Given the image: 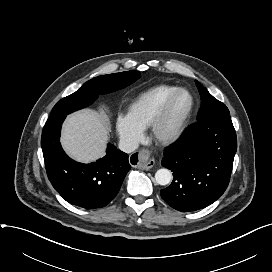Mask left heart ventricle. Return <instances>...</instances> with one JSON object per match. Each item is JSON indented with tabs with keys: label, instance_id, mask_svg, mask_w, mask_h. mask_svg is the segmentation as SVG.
Masks as SVG:
<instances>
[{
	"label": "left heart ventricle",
	"instance_id": "left-heart-ventricle-1",
	"mask_svg": "<svg viewBox=\"0 0 272 272\" xmlns=\"http://www.w3.org/2000/svg\"><path fill=\"white\" fill-rule=\"evenodd\" d=\"M191 105V98L187 93H180L169 112V115L163 125L164 132L172 131L176 125L182 120V118L187 114Z\"/></svg>",
	"mask_w": 272,
	"mask_h": 272
}]
</instances>
